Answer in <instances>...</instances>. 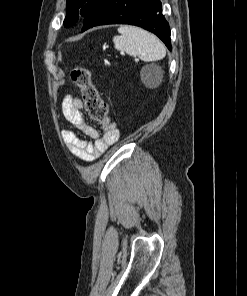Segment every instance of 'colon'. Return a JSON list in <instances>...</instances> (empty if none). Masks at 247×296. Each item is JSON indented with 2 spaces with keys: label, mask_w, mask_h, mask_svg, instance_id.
Masks as SVG:
<instances>
[{
  "label": "colon",
  "mask_w": 247,
  "mask_h": 296,
  "mask_svg": "<svg viewBox=\"0 0 247 296\" xmlns=\"http://www.w3.org/2000/svg\"><path fill=\"white\" fill-rule=\"evenodd\" d=\"M70 78L81 90L84 107L90 118L100 122L105 129H109L111 126L109 109L93 84L90 71L82 66L75 67L71 71Z\"/></svg>",
  "instance_id": "colon-1"
}]
</instances>
